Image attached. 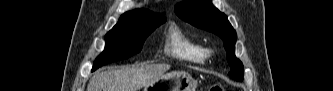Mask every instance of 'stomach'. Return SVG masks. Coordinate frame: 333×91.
<instances>
[{"label": "stomach", "mask_w": 333, "mask_h": 91, "mask_svg": "<svg viewBox=\"0 0 333 91\" xmlns=\"http://www.w3.org/2000/svg\"><path fill=\"white\" fill-rule=\"evenodd\" d=\"M197 82L187 72L171 71L146 85L143 91H196Z\"/></svg>", "instance_id": "1"}]
</instances>
